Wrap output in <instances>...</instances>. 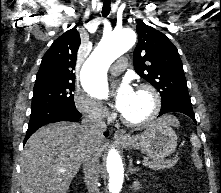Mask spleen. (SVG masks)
<instances>
[{
    "label": "spleen",
    "instance_id": "1",
    "mask_svg": "<svg viewBox=\"0 0 221 193\" xmlns=\"http://www.w3.org/2000/svg\"><path fill=\"white\" fill-rule=\"evenodd\" d=\"M190 141L195 150H198L201 147V143L198 137L195 134H192L190 137Z\"/></svg>",
    "mask_w": 221,
    "mask_h": 193
}]
</instances>
